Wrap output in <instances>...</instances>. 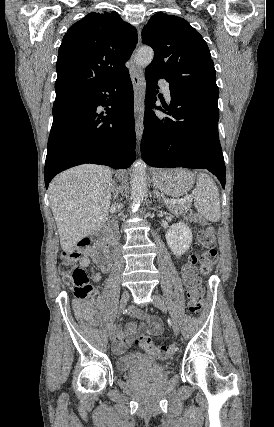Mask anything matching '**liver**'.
Wrapping results in <instances>:
<instances>
[{"mask_svg":"<svg viewBox=\"0 0 274 427\" xmlns=\"http://www.w3.org/2000/svg\"><path fill=\"white\" fill-rule=\"evenodd\" d=\"M114 190L111 170L95 164L76 166L52 180L49 202L63 251H70L107 219Z\"/></svg>","mask_w":274,"mask_h":427,"instance_id":"6515ba94","label":"liver"}]
</instances>
